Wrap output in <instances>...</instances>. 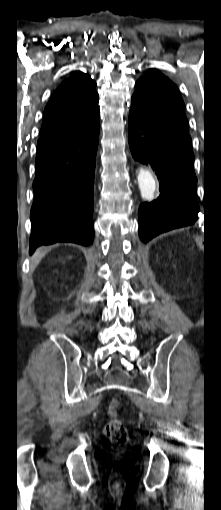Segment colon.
<instances>
[{
    "label": "colon",
    "instance_id": "1",
    "mask_svg": "<svg viewBox=\"0 0 221 510\" xmlns=\"http://www.w3.org/2000/svg\"><path fill=\"white\" fill-rule=\"evenodd\" d=\"M120 406L117 399H112L109 402L108 413L113 417L104 427V434L109 439L114 447H123L128 443V433L124 424L114 418L116 411Z\"/></svg>",
    "mask_w": 221,
    "mask_h": 510
}]
</instances>
